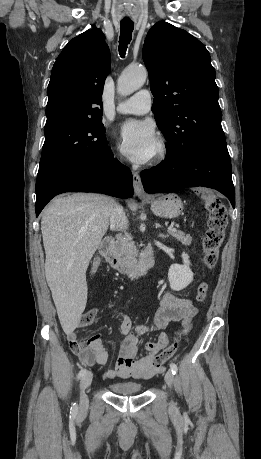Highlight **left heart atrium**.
<instances>
[{"mask_svg": "<svg viewBox=\"0 0 261 459\" xmlns=\"http://www.w3.org/2000/svg\"><path fill=\"white\" fill-rule=\"evenodd\" d=\"M121 151L135 163L150 160L157 147V137L148 121L129 120L119 130Z\"/></svg>", "mask_w": 261, "mask_h": 459, "instance_id": "obj_1", "label": "left heart atrium"}]
</instances>
